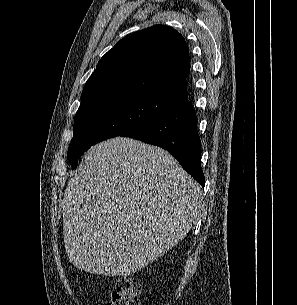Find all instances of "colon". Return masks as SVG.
<instances>
[{
    "label": "colon",
    "mask_w": 297,
    "mask_h": 305,
    "mask_svg": "<svg viewBox=\"0 0 297 305\" xmlns=\"http://www.w3.org/2000/svg\"><path fill=\"white\" fill-rule=\"evenodd\" d=\"M140 285L130 276L120 278L111 295L108 305H140Z\"/></svg>",
    "instance_id": "5ec220e1"
}]
</instances>
